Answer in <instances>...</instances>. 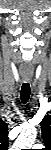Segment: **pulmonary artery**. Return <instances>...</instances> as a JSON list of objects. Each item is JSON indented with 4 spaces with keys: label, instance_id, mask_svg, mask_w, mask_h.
Listing matches in <instances>:
<instances>
[{
    "label": "pulmonary artery",
    "instance_id": "pulmonary-artery-1",
    "mask_svg": "<svg viewBox=\"0 0 51 150\" xmlns=\"http://www.w3.org/2000/svg\"><path fill=\"white\" fill-rule=\"evenodd\" d=\"M35 147H40V145H34Z\"/></svg>",
    "mask_w": 51,
    "mask_h": 150
}]
</instances>
